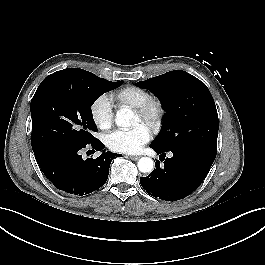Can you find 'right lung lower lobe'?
<instances>
[{
  "instance_id": "1",
  "label": "right lung lower lobe",
  "mask_w": 265,
  "mask_h": 265,
  "mask_svg": "<svg viewBox=\"0 0 265 265\" xmlns=\"http://www.w3.org/2000/svg\"><path fill=\"white\" fill-rule=\"evenodd\" d=\"M96 151L104 149L100 140L91 143ZM86 146H62L34 152L46 178L59 190L74 195H86L105 184L109 166L121 154L103 152L96 159L84 160L81 150ZM95 152V151H94Z\"/></svg>"
}]
</instances>
